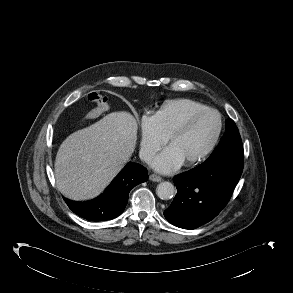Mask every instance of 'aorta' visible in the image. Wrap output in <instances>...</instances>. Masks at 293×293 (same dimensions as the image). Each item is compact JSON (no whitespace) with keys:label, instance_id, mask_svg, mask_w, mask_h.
Returning <instances> with one entry per match:
<instances>
[{"label":"aorta","instance_id":"obj_1","mask_svg":"<svg viewBox=\"0 0 293 293\" xmlns=\"http://www.w3.org/2000/svg\"><path fill=\"white\" fill-rule=\"evenodd\" d=\"M176 193L174 185L170 182H161L157 185L156 194L160 199L168 200L171 199Z\"/></svg>","mask_w":293,"mask_h":293}]
</instances>
